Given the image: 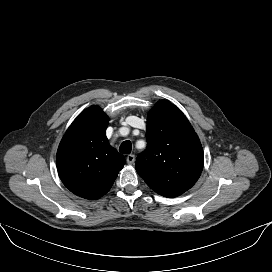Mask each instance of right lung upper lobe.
<instances>
[{"label": "right lung upper lobe", "mask_w": 272, "mask_h": 272, "mask_svg": "<svg viewBox=\"0 0 272 272\" xmlns=\"http://www.w3.org/2000/svg\"><path fill=\"white\" fill-rule=\"evenodd\" d=\"M108 117L98 106L85 109L58 147L56 163L63 184L75 195L95 200L112 187L125 164L105 135Z\"/></svg>", "instance_id": "cb5924a9"}]
</instances>
